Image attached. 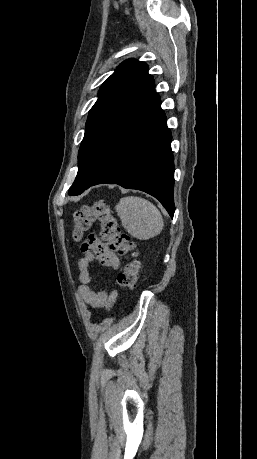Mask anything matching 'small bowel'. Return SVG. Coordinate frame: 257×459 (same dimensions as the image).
<instances>
[{"label": "small bowel", "mask_w": 257, "mask_h": 459, "mask_svg": "<svg viewBox=\"0 0 257 459\" xmlns=\"http://www.w3.org/2000/svg\"><path fill=\"white\" fill-rule=\"evenodd\" d=\"M81 252L82 257L78 261L81 282L78 294L92 308L110 310L117 299L118 292L117 290L107 292L95 289L92 285L94 275L91 272V266L93 263H98L108 270L115 271L120 264L119 258L107 244L102 243L95 235H90L82 244Z\"/></svg>", "instance_id": "c3829d8e"}]
</instances>
